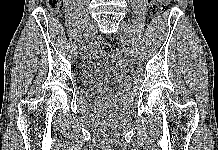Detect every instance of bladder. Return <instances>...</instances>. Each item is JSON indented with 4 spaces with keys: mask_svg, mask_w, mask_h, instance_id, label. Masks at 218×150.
<instances>
[{
    "mask_svg": "<svg viewBox=\"0 0 218 150\" xmlns=\"http://www.w3.org/2000/svg\"><path fill=\"white\" fill-rule=\"evenodd\" d=\"M115 64L107 53H92L81 70V81L89 85L97 81H108L114 71Z\"/></svg>",
    "mask_w": 218,
    "mask_h": 150,
    "instance_id": "bladder-1",
    "label": "bladder"
}]
</instances>
